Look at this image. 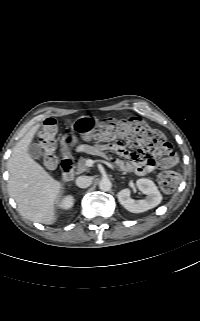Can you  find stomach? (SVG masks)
<instances>
[{
	"label": "stomach",
	"instance_id": "obj_1",
	"mask_svg": "<svg viewBox=\"0 0 200 321\" xmlns=\"http://www.w3.org/2000/svg\"><path fill=\"white\" fill-rule=\"evenodd\" d=\"M97 124V120L94 118H91L89 116H81L77 118L76 120L73 121L71 124V127L73 130L78 131V132H88L91 129H93ZM77 142V139L72 136V137H65L63 139V143L68 146H73Z\"/></svg>",
	"mask_w": 200,
	"mask_h": 321
}]
</instances>
